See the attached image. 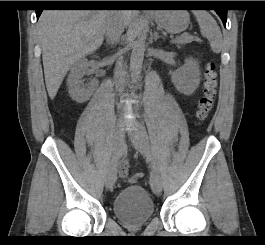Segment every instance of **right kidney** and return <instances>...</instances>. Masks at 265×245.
I'll return each instance as SVG.
<instances>
[{"label": "right kidney", "mask_w": 265, "mask_h": 245, "mask_svg": "<svg viewBox=\"0 0 265 245\" xmlns=\"http://www.w3.org/2000/svg\"><path fill=\"white\" fill-rule=\"evenodd\" d=\"M89 62L85 58L77 60L70 68V73L67 79L69 94L73 100L78 103H83L92 96L95 85L86 87L82 81L85 73H89Z\"/></svg>", "instance_id": "obj_1"}]
</instances>
